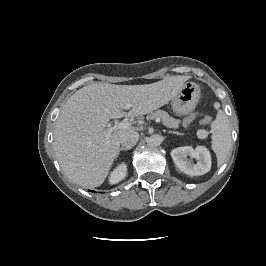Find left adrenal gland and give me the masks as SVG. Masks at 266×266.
Here are the masks:
<instances>
[{
    "label": "left adrenal gland",
    "mask_w": 266,
    "mask_h": 266,
    "mask_svg": "<svg viewBox=\"0 0 266 266\" xmlns=\"http://www.w3.org/2000/svg\"><path fill=\"white\" fill-rule=\"evenodd\" d=\"M168 134L183 135L182 133L175 132V131H168Z\"/></svg>",
    "instance_id": "left-adrenal-gland-1"
}]
</instances>
